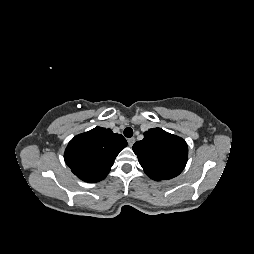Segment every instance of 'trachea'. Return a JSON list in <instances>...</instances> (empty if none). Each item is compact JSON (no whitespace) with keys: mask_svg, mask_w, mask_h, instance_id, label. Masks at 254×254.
I'll return each instance as SVG.
<instances>
[{"mask_svg":"<svg viewBox=\"0 0 254 254\" xmlns=\"http://www.w3.org/2000/svg\"><path fill=\"white\" fill-rule=\"evenodd\" d=\"M124 136L127 138H130L133 136V130L130 127L125 128L124 130Z\"/></svg>","mask_w":254,"mask_h":254,"instance_id":"obj_1","label":"trachea"}]
</instances>
